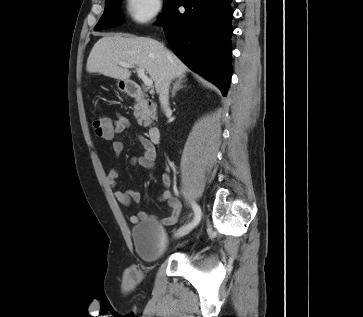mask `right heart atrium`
Returning a JSON list of instances; mask_svg holds the SVG:
<instances>
[{
    "label": "right heart atrium",
    "instance_id": "right-heart-atrium-1",
    "mask_svg": "<svg viewBox=\"0 0 363 317\" xmlns=\"http://www.w3.org/2000/svg\"><path fill=\"white\" fill-rule=\"evenodd\" d=\"M125 9L132 21L146 24L160 17L163 4L162 0H125Z\"/></svg>",
    "mask_w": 363,
    "mask_h": 317
}]
</instances>
